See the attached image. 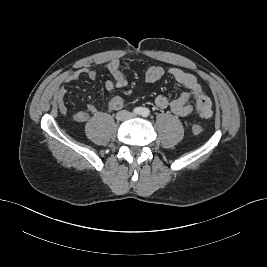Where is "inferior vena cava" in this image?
I'll use <instances>...</instances> for the list:
<instances>
[{
  "instance_id": "inferior-vena-cava-1",
  "label": "inferior vena cava",
  "mask_w": 267,
  "mask_h": 267,
  "mask_svg": "<svg viewBox=\"0 0 267 267\" xmlns=\"http://www.w3.org/2000/svg\"><path fill=\"white\" fill-rule=\"evenodd\" d=\"M132 116H133L132 113L123 110V111L118 112L116 117L121 120H126V119L131 118Z\"/></svg>"
}]
</instances>
